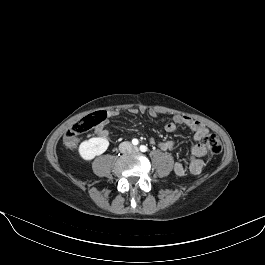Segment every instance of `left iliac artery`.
I'll use <instances>...</instances> for the list:
<instances>
[{"label": "left iliac artery", "mask_w": 265, "mask_h": 265, "mask_svg": "<svg viewBox=\"0 0 265 265\" xmlns=\"http://www.w3.org/2000/svg\"><path fill=\"white\" fill-rule=\"evenodd\" d=\"M147 150H148L147 146H145V145L140 146V151L146 152Z\"/></svg>", "instance_id": "obj_1"}]
</instances>
